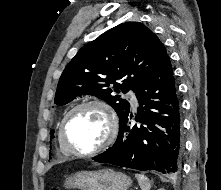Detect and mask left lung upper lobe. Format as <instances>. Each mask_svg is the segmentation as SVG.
Here are the masks:
<instances>
[{
    "label": "left lung upper lobe",
    "instance_id": "left-lung-upper-lobe-1",
    "mask_svg": "<svg viewBox=\"0 0 221 190\" xmlns=\"http://www.w3.org/2000/svg\"><path fill=\"white\" fill-rule=\"evenodd\" d=\"M166 55L162 42L144 24L122 23L78 51L60 77L54 102L65 105L79 95H93L112 106L121 120L130 104L114 92H136Z\"/></svg>",
    "mask_w": 221,
    "mask_h": 190
}]
</instances>
